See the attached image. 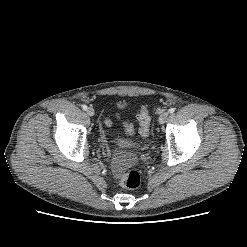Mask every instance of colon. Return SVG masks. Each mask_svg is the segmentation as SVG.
<instances>
[{"instance_id":"5ec220e1","label":"colon","mask_w":247,"mask_h":247,"mask_svg":"<svg viewBox=\"0 0 247 247\" xmlns=\"http://www.w3.org/2000/svg\"><path fill=\"white\" fill-rule=\"evenodd\" d=\"M137 119L140 125L139 134L141 137H146L149 133V128L151 124V117L149 115V111L147 107L142 106L140 108V111L137 115ZM107 123L110 124L109 121ZM124 126L129 133L134 132V128L132 124L125 123ZM120 184L125 189H129V190L137 189L141 185L140 172L137 170H130L123 173L120 178Z\"/></svg>"}]
</instances>
